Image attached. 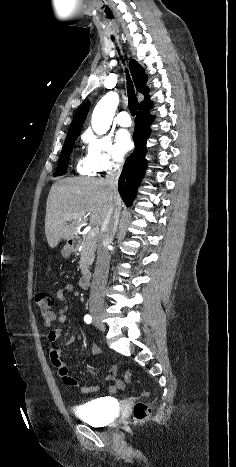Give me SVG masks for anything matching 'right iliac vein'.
Listing matches in <instances>:
<instances>
[{"label":"right iliac vein","mask_w":236,"mask_h":467,"mask_svg":"<svg viewBox=\"0 0 236 467\" xmlns=\"http://www.w3.org/2000/svg\"><path fill=\"white\" fill-rule=\"evenodd\" d=\"M92 317L96 326L101 330L105 331V324L102 321L101 313L98 311L92 312Z\"/></svg>","instance_id":"obj_1"}]
</instances>
